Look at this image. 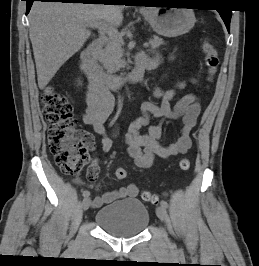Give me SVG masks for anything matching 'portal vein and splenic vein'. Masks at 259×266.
Instances as JSON below:
<instances>
[{"mask_svg":"<svg viewBox=\"0 0 259 266\" xmlns=\"http://www.w3.org/2000/svg\"><path fill=\"white\" fill-rule=\"evenodd\" d=\"M89 26L92 28H97L99 30H103L111 37L122 39V36L118 32V30L104 21H94V22L90 23ZM143 46L145 48H147L149 46V43L145 42L143 44Z\"/></svg>","mask_w":259,"mask_h":266,"instance_id":"18ae733b","label":"portal vein and splenic vein"}]
</instances>
